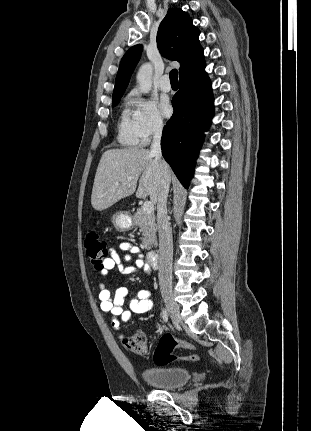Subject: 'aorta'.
Wrapping results in <instances>:
<instances>
[{
  "instance_id": "762f6f07",
  "label": "aorta",
  "mask_w": 311,
  "mask_h": 431,
  "mask_svg": "<svg viewBox=\"0 0 311 431\" xmlns=\"http://www.w3.org/2000/svg\"><path fill=\"white\" fill-rule=\"evenodd\" d=\"M152 76H153L152 64H143V66L139 68L137 72L136 80L139 86V90H141L143 94H149L152 88Z\"/></svg>"
}]
</instances>
